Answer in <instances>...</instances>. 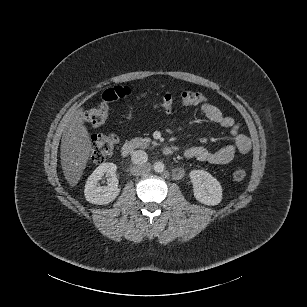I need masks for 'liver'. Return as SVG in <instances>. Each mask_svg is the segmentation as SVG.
Masks as SVG:
<instances>
[{
	"instance_id": "obj_1",
	"label": "liver",
	"mask_w": 307,
	"mask_h": 307,
	"mask_svg": "<svg viewBox=\"0 0 307 307\" xmlns=\"http://www.w3.org/2000/svg\"><path fill=\"white\" fill-rule=\"evenodd\" d=\"M84 107H80L61 121V167L70 187L80 182L94 149L91 135L84 124L87 119Z\"/></svg>"
}]
</instances>
